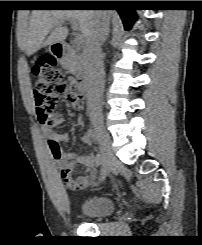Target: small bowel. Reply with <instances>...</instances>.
Listing matches in <instances>:
<instances>
[{
    "mask_svg": "<svg viewBox=\"0 0 202 245\" xmlns=\"http://www.w3.org/2000/svg\"><path fill=\"white\" fill-rule=\"evenodd\" d=\"M78 99V105L83 104L84 98L79 96ZM63 120V115L59 112H55L52 123L43 125V132L46 136L48 144H50L53 139H57L60 143L69 141L70 136L68 133H54L51 131L52 127L60 125ZM83 142L88 145H90L92 142L87 132H85L83 135ZM53 160L64 180L66 187L71 191H79L87 188L91 185L98 174L96 160L91 153L79 155L74 151H65L61 149L59 155L53 154ZM77 163H80L86 167V173L79 177H73L72 173Z\"/></svg>",
    "mask_w": 202,
    "mask_h": 245,
    "instance_id": "c3829d8e",
    "label": "small bowel"
}]
</instances>
